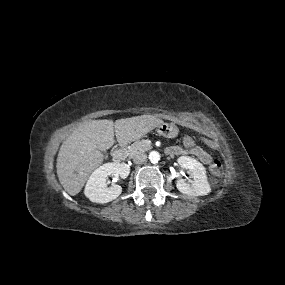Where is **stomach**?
<instances>
[{"instance_id": "1", "label": "stomach", "mask_w": 285, "mask_h": 285, "mask_svg": "<svg viewBox=\"0 0 285 285\" xmlns=\"http://www.w3.org/2000/svg\"><path fill=\"white\" fill-rule=\"evenodd\" d=\"M157 131L165 137H174L178 133V128L173 123H162L158 126Z\"/></svg>"}]
</instances>
